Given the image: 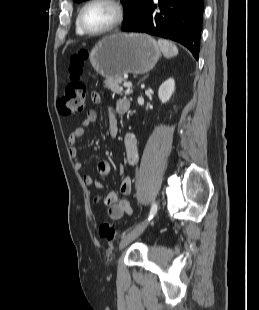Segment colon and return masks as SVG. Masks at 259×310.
Wrapping results in <instances>:
<instances>
[{"label": "colon", "instance_id": "1", "mask_svg": "<svg viewBox=\"0 0 259 310\" xmlns=\"http://www.w3.org/2000/svg\"><path fill=\"white\" fill-rule=\"evenodd\" d=\"M87 59L86 51H81L71 56L68 71L70 80L58 101L59 109L65 114H81L86 105L87 88L81 81ZM100 237L104 240H116L120 233L115 225L109 222H102L99 225Z\"/></svg>", "mask_w": 259, "mask_h": 310}]
</instances>
